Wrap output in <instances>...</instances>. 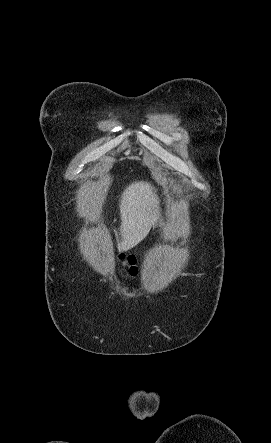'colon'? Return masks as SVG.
Returning <instances> with one entry per match:
<instances>
[{"label": "colon", "mask_w": 271, "mask_h": 443, "mask_svg": "<svg viewBox=\"0 0 271 443\" xmlns=\"http://www.w3.org/2000/svg\"><path fill=\"white\" fill-rule=\"evenodd\" d=\"M120 259L123 265L127 268L130 275L134 276L137 272L136 257L133 254H121Z\"/></svg>", "instance_id": "obj_1"}]
</instances>
